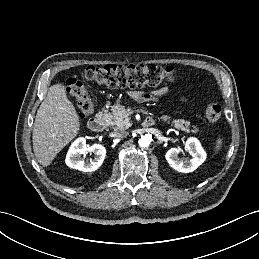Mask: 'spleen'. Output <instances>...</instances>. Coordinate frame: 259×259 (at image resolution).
Instances as JSON below:
<instances>
[{
    "instance_id": "obj_1",
    "label": "spleen",
    "mask_w": 259,
    "mask_h": 259,
    "mask_svg": "<svg viewBox=\"0 0 259 259\" xmlns=\"http://www.w3.org/2000/svg\"><path fill=\"white\" fill-rule=\"evenodd\" d=\"M221 145H222V139H221V138H218V139H217V142H216L215 149H217V150L220 149Z\"/></svg>"
}]
</instances>
